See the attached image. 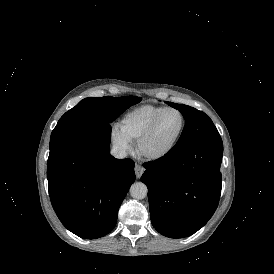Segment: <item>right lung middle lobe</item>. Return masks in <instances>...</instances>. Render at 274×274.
Returning <instances> with one entry per match:
<instances>
[{"label":"right lung middle lobe","mask_w":274,"mask_h":274,"mask_svg":"<svg viewBox=\"0 0 274 274\" xmlns=\"http://www.w3.org/2000/svg\"><path fill=\"white\" fill-rule=\"evenodd\" d=\"M140 101L141 98L135 96L83 99L58 121L51 133L50 150L93 127L110 124L127 108Z\"/></svg>","instance_id":"1"}]
</instances>
